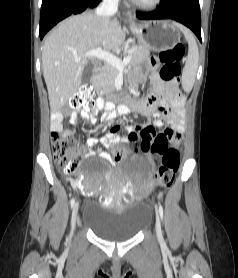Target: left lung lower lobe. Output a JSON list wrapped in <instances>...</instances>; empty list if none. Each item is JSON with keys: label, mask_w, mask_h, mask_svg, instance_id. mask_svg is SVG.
<instances>
[{"label": "left lung lower lobe", "mask_w": 238, "mask_h": 278, "mask_svg": "<svg viewBox=\"0 0 238 278\" xmlns=\"http://www.w3.org/2000/svg\"><path fill=\"white\" fill-rule=\"evenodd\" d=\"M136 15L142 20H176L189 27L202 42L199 0H161L155 11Z\"/></svg>", "instance_id": "1"}]
</instances>
